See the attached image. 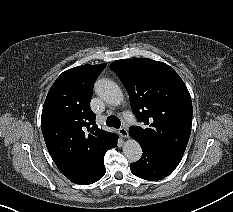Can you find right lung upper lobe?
<instances>
[{
    "label": "right lung upper lobe",
    "mask_w": 233,
    "mask_h": 212,
    "mask_svg": "<svg viewBox=\"0 0 233 212\" xmlns=\"http://www.w3.org/2000/svg\"><path fill=\"white\" fill-rule=\"evenodd\" d=\"M105 67L82 65L63 72L50 88L42 110L47 149L58 169L76 184L93 178L113 136L98 128L90 109L93 84Z\"/></svg>",
    "instance_id": "obj_1"
}]
</instances>
